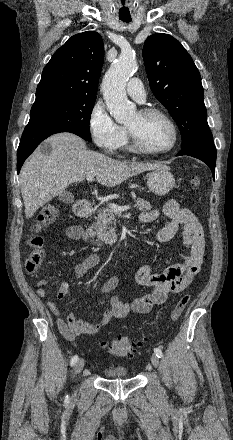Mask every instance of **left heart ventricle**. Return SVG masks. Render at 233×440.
<instances>
[{
    "instance_id": "b2bd125f",
    "label": "left heart ventricle",
    "mask_w": 233,
    "mask_h": 440,
    "mask_svg": "<svg viewBox=\"0 0 233 440\" xmlns=\"http://www.w3.org/2000/svg\"><path fill=\"white\" fill-rule=\"evenodd\" d=\"M126 126L138 136L145 147L151 150L164 149L172 141L169 124L158 115L142 116L137 112Z\"/></svg>"
}]
</instances>
